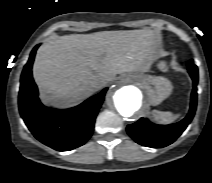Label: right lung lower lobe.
<instances>
[{
  "label": "right lung lower lobe",
  "instance_id": "1",
  "mask_svg": "<svg viewBox=\"0 0 212 183\" xmlns=\"http://www.w3.org/2000/svg\"><path fill=\"white\" fill-rule=\"evenodd\" d=\"M38 47L39 45L32 50L21 75L18 100L20 114L40 142L57 151H69L83 145L92 135L95 118L107 88L71 109L45 107L38 99L31 71Z\"/></svg>",
  "mask_w": 212,
  "mask_h": 183
}]
</instances>
